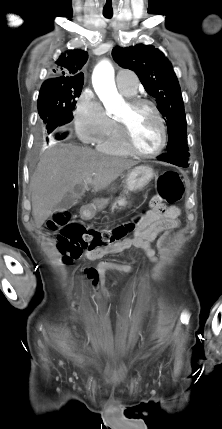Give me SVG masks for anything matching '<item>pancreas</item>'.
I'll use <instances>...</instances> for the list:
<instances>
[{
    "label": "pancreas",
    "mask_w": 222,
    "mask_h": 429,
    "mask_svg": "<svg viewBox=\"0 0 222 429\" xmlns=\"http://www.w3.org/2000/svg\"><path fill=\"white\" fill-rule=\"evenodd\" d=\"M127 205V201H126V198L125 197H123V198H119L114 204H113V206H112V210L113 209H115V208H118V207H124V206H126Z\"/></svg>",
    "instance_id": "pancreas-1"
}]
</instances>
